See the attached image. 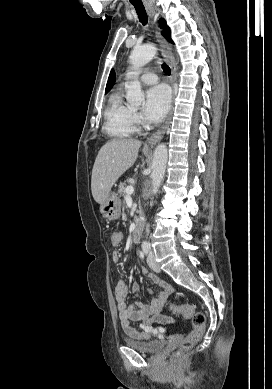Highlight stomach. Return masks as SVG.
<instances>
[{"instance_id": "1", "label": "stomach", "mask_w": 272, "mask_h": 389, "mask_svg": "<svg viewBox=\"0 0 272 389\" xmlns=\"http://www.w3.org/2000/svg\"><path fill=\"white\" fill-rule=\"evenodd\" d=\"M100 212L104 218L116 220L121 215V200L118 195L111 192L107 200L100 205Z\"/></svg>"}]
</instances>
